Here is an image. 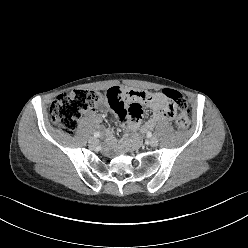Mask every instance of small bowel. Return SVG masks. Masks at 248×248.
Wrapping results in <instances>:
<instances>
[{"mask_svg": "<svg viewBox=\"0 0 248 248\" xmlns=\"http://www.w3.org/2000/svg\"><path fill=\"white\" fill-rule=\"evenodd\" d=\"M105 98L99 103V108L112 109L121 121L132 129L139 128L141 131H147L157 123L171 119L174 115L168 99L161 92L126 89L123 85H118L109 88L105 93ZM143 104L153 111L150 119L144 124L141 123ZM106 138L109 144H116V140L110 132L106 133Z\"/></svg>", "mask_w": 248, "mask_h": 248, "instance_id": "obj_1", "label": "small bowel"}]
</instances>
